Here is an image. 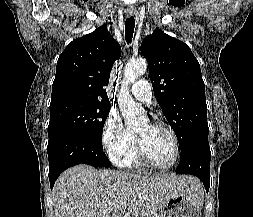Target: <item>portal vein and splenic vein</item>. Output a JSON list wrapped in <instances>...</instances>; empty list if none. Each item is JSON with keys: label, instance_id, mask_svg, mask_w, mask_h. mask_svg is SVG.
Instances as JSON below:
<instances>
[{"label": "portal vein and splenic vein", "instance_id": "portal-vein-and-splenic-vein-1", "mask_svg": "<svg viewBox=\"0 0 253 217\" xmlns=\"http://www.w3.org/2000/svg\"><path fill=\"white\" fill-rule=\"evenodd\" d=\"M124 217H128V214L124 215Z\"/></svg>", "mask_w": 253, "mask_h": 217}]
</instances>
